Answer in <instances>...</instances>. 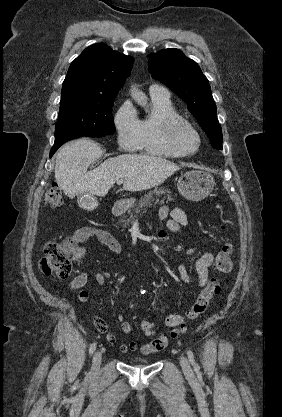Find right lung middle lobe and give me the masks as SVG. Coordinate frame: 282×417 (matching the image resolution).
Returning a JSON list of instances; mask_svg holds the SVG:
<instances>
[{"instance_id": "dd1d6c3e", "label": "right lung middle lobe", "mask_w": 282, "mask_h": 417, "mask_svg": "<svg viewBox=\"0 0 282 417\" xmlns=\"http://www.w3.org/2000/svg\"><path fill=\"white\" fill-rule=\"evenodd\" d=\"M117 93L62 94L55 140L68 136L103 137L115 132L112 106Z\"/></svg>"}]
</instances>
